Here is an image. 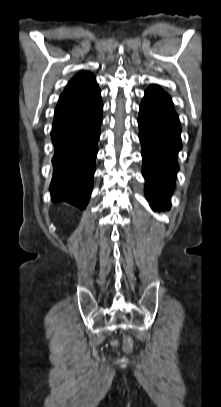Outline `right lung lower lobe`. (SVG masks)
Wrapping results in <instances>:
<instances>
[{"label":"right lung lower lobe","mask_w":221,"mask_h":407,"mask_svg":"<svg viewBox=\"0 0 221 407\" xmlns=\"http://www.w3.org/2000/svg\"><path fill=\"white\" fill-rule=\"evenodd\" d=\"M103 104L98 86L58 101L51 140V199L85 209L93 186Z\"/></svg>","instance_id":"98d812e1"}]
</instances>
